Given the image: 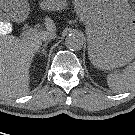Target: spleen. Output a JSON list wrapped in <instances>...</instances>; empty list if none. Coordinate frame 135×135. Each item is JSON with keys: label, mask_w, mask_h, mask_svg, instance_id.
<instances>
[{"label": "spleen", "mask_w": 135, "mask_h": 135, "mask_svg": "<svg viewBox=\"0 0 135 135\" xmlns=\"http://www.w3.org/2000/svg\"><path fill=\"white\" fill-rule=\"evenodd\" d=\"M110 89L116 92H124L135 87V61L130 63L122 73H111L107 76Z\"/></svg>", "instance_id": "obj_1"}]
</instances>
